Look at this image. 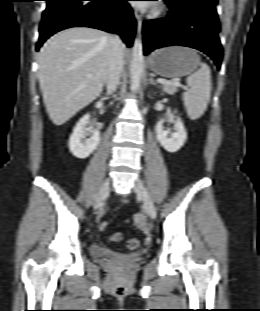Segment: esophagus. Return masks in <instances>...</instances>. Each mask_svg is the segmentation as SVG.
I'll return each mask as SVG.
<instances>
[{"mask_svg":"<svg viewBox=\"0 0 260 311\" xmlns=\"http://www.w3.org/2000/svg\"><path fill=\"white\" fill-rule=\"evenodd\" d=\"M134 15H135V19L137 21L138 33L140 34L141 29H142V16L137 11H135Z\"/></svg>","mask_w":260,"mask_h":311,"instance_id":"esophagus-1","label":"esophagus"}]
</instances>
